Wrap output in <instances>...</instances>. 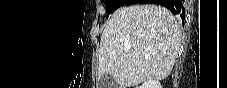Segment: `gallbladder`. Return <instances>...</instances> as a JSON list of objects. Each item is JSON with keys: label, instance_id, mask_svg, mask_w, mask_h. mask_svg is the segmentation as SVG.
I'll return each mask as SVG.
<instances>
[{"label": "gallbladder", "instance_id": "obj_1", "mask_svg": "<svg viewBox=\"0 0 227 88\" xmlns=\"http://www.w3.org/2000/svg\"><path fill=\"white\" fill-rule=\"evenodd\" d=\"M98 85L99 88H116L117 86L114 78L109 74L103 75L100 78Z\"/></svg>", "mask_w": 227, "mask_h": 88}]
</instances>
